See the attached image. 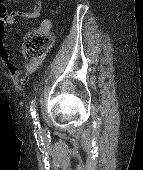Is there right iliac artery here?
<instances>
[{"instance_id": "right-iliac-artery-1", "label": "right iliac artery", "mask_w": 143, "mask_h": 170, "mask_svg": "<svg viewBox=\"0 0 143 170\" xmlns=\"http://www.w3.org/2000/svg\"><path fill=\"white\" fill-rule=\"evenodd\" d=\"M30 112H31V116L36 120L37 114H36V109H35V100L32 101V105L30 107ZM34 124L38 125L39 122L34 121Z\"/></svg>"}]
</instances>
